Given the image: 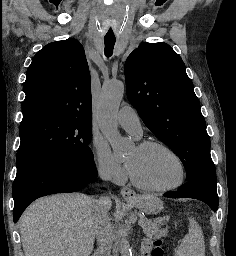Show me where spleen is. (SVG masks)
<instances>
[{"label":"spleen","mask_w":236,"mask_h":256,"mask_svg":"<svg viewBox=\"0 0 236 256\" xmlns=\"http://www.w3.org/2000/svg\"><path fill=\"white\" fill-rule=\"evenodd\" d=\"M189 234L183 238L175 256H205V242L198 222L195 218L189 220Z\"/></svg>","instance_id":"3e777b00"}]
</instances>
